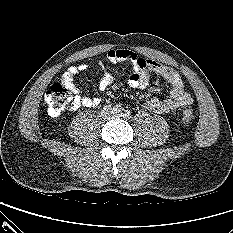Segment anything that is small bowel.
Returning a JSON list of instances; mask_svg holds the SVG:
<instances>
[{
    "label": "small bowel",
    "instance_id": "small-bowel-1",
    "mask_svg": "<svg viewBox=\"0 0 233 233\" xmlns=\"http://www.w3.org/2000/svg\"><path fill=\"white\" fill-rule=\"evenodd\" d=\"M106 61L111 64L120 62H130L133 71L128 79V84L133 89L146 88L150 84L151 76L157 75L164 78L170 85V94L165 99L151 98L147 100L144 107L159 114L169 113L185 105L192 103V98L185 90L183 81L178 72L172 67L162 65L154 60L140 57L135 52L128 49H114L106 54ZM88 66L80 64L71 66L62 76V83L73 94L74 99L71 108L76 110L80 107H97L101 103L99 97H88L80 94V89L74 83V76L86 71ZM112 83V79L105 74L100 83L99 89L106 91Z\"/></svg>",
    "mask_w": 233,
    "mask_h": 233
}]
</instances>
